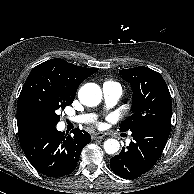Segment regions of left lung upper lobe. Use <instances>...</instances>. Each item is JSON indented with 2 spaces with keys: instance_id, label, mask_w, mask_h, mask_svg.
<instances>
[{
  "instance_id": "1",
  "label": "left lung upper lobe",
  "mask_w": 194,
  "mask_h": 194,
  "mask_svg": "<svg viewBox=\"0 0 194 194\" xmlns=\"http://www.w3.org/2000/svg\"><path fill=\"white\" fill-rule=\"evenodd\" d=\"M119 74L133 89L132 115L120 124L121 131L141 124L171 122L170 92L161 74L143 66L123 69Z\"/></svg>"
}]
</instances>
